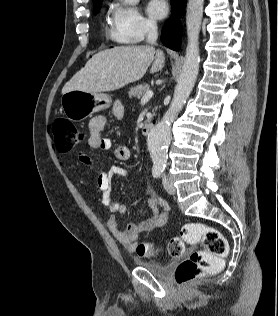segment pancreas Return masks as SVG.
<instances>
[{"instance_id": "pancreas-1", "label": "pancreas", "mask_w": 278, "mask_h": 316, "mask_svg": "<svg viewBox=\"0 0 278 316\" xmlns=\"http://www.w3.org/2000/svg\"><path fill=\"white\" fill-rule=\"evenodd\" d=\"M148 90H149V84L144 83V84L137 85L135 87H131L128 94L130 98L140 99Z\"/></svg>"}]
</instances>
